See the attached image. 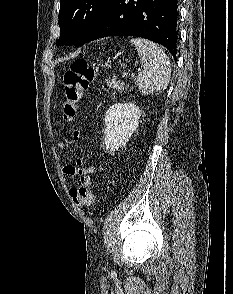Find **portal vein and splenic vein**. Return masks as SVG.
<instances>
[{
	"label": "portal vein and splenic vein",
	"mask_w": 233,
	"mask_h": 294,
	"mask_svg": "<svg viewBox=\"0 0 233 294\" xmlns=\"http://www.w3.org/2000/svg\"><path fill=\"white\" fill-rule=\"evenodd\" d=\"M138 70L140 71L141 69H138ZM131 78L134 79L135 78V75L134 74H131Z\"/></svg>",
	"instance_id": "1"
}]
</instances>
